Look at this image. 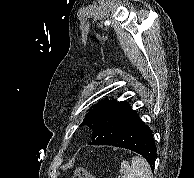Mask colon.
<instances>
[{
  "label": "colon",
  "instance_id": "obj_1",
  "mask_svg": "<svg viewBox=\"0 0 194 178\" xmlns=\"http://www.w3.org/2000/svg\"><path fill=\"white\" fill-rule=\"evenodd\" d=\"M72 178H96L83 167H77L72 172Z\"/></svg>",
  "mask_w": 194,
  "mask_h": 178
}]
</instances>
